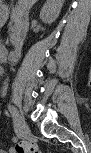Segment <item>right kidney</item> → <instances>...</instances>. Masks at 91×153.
I'll return each mask as SVG.
<instances>
[{
    "label": "right kidney",
    "mask_w": 91,
    "mask_h": 153,
    "mask_svg": "<svg viewBox=\"0 0 91 153\" xmlns=\"http://www.w3.org/2000/svg\"><path fill=\"white\" fill-rule=\"evenodd\" d=\"M54 0H48L41 9L40 19L45 23H53L61 10L62 5L54 4Z\"/></svg>",
    "instance_id": "ca27d5eb"
}]
</instances>
